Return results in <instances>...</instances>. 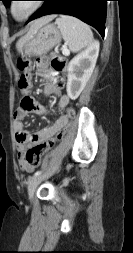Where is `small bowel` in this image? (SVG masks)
I'll return each instance as SVG.
<instances>
[{
  "label": "small bowel",
  "mask_w": 133,
  "mask_h": 253,
  "mask_svg": "<svg viewBox=\"0 0 133 253\" xmlns=\"http://www.w3.org/2000/svg\"><path fill=\"white\" fill-rule=\"evenodd\" d=\"M37 74L45 79L43 84V94L46 96L56 95L58 97L57 109H65L70 97L67 94H61L64 86L63 79L49 67L47 57H40L36 62ZM22 97L20 106L15 110L13 128L16 134V147L18 152V161L23 170L27 172L33 171L34 167L26 160L27 152L39 146L46 140L52 138L67 123V117L61 115L56 121L37 132L31 133L24 127L23 120L31 113L44 115L47 109L35 101V97H30V93H25Z\"/></svg>",
  "instance_id": "obj_1"
}]
</instances>
